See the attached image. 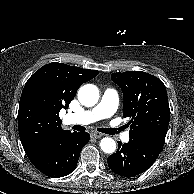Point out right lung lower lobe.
I'll use <instances>...</instances> for the list:
<instances>
[{"instance_id":"1","label":"right lung lower lobe","mask_w":194,"mask_h":194,"mask_svg":"<svg viewBox=\"0 0 194 194\" xmlns=\"http://www.w3.org/2000/svg\"><path fill=\"white\" fill-rule=\"evenodd\" d=\"M89 139L87 132L61 133L43 144L28 158L43 174L52 178L64 177L75 170L81 149Z\"/></svg>"}]
</instances>
